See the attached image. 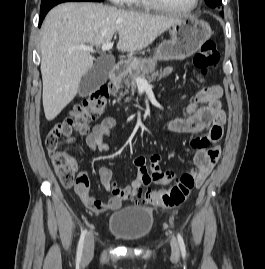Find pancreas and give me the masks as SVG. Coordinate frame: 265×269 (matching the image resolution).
I'll use <instances>...</instances> for the list:
<instances>
[{
    "label": "pancreas",
    "mask_w": 265,
    "mask_h": 269,
    "mask_svg": "<svg viewBox=\"0 0 265 269\" xmlns=\"http://www.w3.org/2000/svg\"><path fill=\"white\" fill-rule=\"evenodd\" d=\"M172 72V68L171 67H167V68H160V71H155L152 72L151 75L143 73L139 70H134V72L131 69H128L127 72H125L119 79L113 81V85L114 88L117 90H119L120 88H123V83L125 85L126 88H131L132 91H134L136 89V78L140 77L143 79H146L148 81H152L154 79H156V77H163L166 75H169ZM125 93H127V89L125 90ZM122 94V93H121ZM125 101H129V98H126Z\"/></svg>",
    "instance_id": "pancreas-1"
}]
</instances>
